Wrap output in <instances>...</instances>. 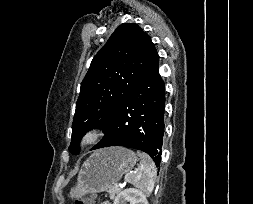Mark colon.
<instances>
[{"label":"colon","instance_id":"obj_1","mask_svg":"<svg viewBox=\"0 0 253 204\" xmlns=\"http://www.w3.org/2000/svg\"><path fill=\"white\" fill-rule=\"evenodd\" d=\"M75 204H94V200L91 197L78 198L76 199Z\"/></svg>","mask_w":253,"mask_h":204}]
</instances>
